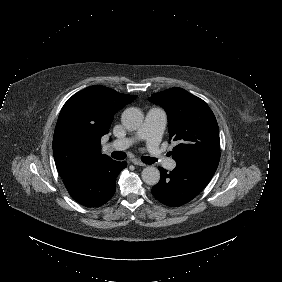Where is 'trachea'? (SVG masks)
I'll return each mask as SVG.
<instances>
[{"instance_id": "1", "label": "trachea", "mask_w": 282, "mask_h": 282, "mask_svg": "<svg viewBox=\"0 0 282 282\" xmlns=\"http://www.w3.org/2000/svg\"><path fill=\"white\" fill-rule=\"evenodd\" d=\"M111 157H113L117 160H124L126 158V153L114 151V152L111 153ZM141 160H142V162H144L148 165H151V164L156 163L158 161L157 158L148 157V156H142Z\"/></svg>"}]
</instances>
